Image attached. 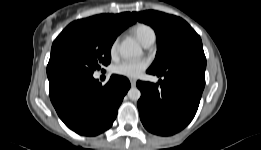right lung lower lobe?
I'll use <instances>...</instances> for the list:
<instances>
[{
  "instance_id": "obj_1",
  "label": "right lung lower lobe",
  "mask_w": 261,
  "mask_h": 150,
  "mask_svg": "<svg viewBox=\"0 0 261 150\" xmlns=\"http://www.w3.org/2000/svg\"><path fill=\"white\" fill-rule=\"evenodd\" d=\"M49 79L50 99L60 119L74 132L95 136L109 129L130 88L126 77L112 75L102 86L93 75L63 74Z\"/></svg>"
}]
</instances>
